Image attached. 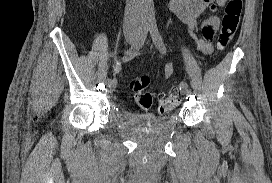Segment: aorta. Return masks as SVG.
Masks as SVG:
<instances>
[{
  "label": "aorta",
  "mask_w": 272,
  "mask_h": 183,
  "mask_svg": "<svg viewBox=\"0 0 272 183\" xmlns=\"http://www.w3.org/2000/svg\"><path fill=\"white\" fill-rule=\"evenodd\" d=\"M142 21L144 24L155 23V11L153 0H142Z\"/></svg>",
  "instance_id": "762f6f07"
}]
</instances>
